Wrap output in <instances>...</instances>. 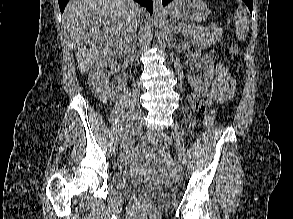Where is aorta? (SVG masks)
<instances>
[{
    "instance_id": "1",
    "label": "aorta",
    "mask_w": 293,
    "mask_h": 219,
    "mask_svg": "<svg viewBox=\"0 0 293 219\" xmlns=\"http://www.w3.org/2000/svg\"><path fill=\"white\" fill-rule=\"evenodd\" d=\"M153 23L158 42L162 44L167 39V20L163 14L162 0H153Z\"/></svg>"
}]
</instances>
